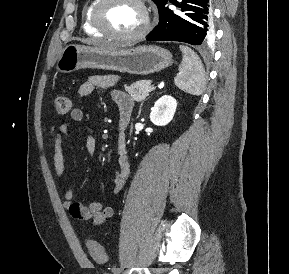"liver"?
<instances>
[{"mask_svg": "<svg viewBox=\"0 0 289 274\" xmlns=\"http://www.w3.org/2000/svg\"><path fill=\"white\" fill-rule=\"evenodd\" d=\"M95 48L104 50H117L119 49L116 45L104 44V43H94Z\"/></svg>", "mask_w": 289, "mask_h": 274, "instance_id": "6515ba94", "label": "liver"}]
</instances>
